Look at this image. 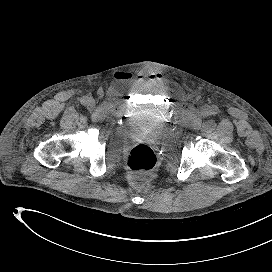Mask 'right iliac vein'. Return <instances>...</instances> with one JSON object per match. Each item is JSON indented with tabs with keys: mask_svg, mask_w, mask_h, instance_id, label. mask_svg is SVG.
Masks as SVG:
<instances>
[{
	"mask_svg": "<svg viewBox=\"0 0 272 272\" xmlns=\"http://www.w3.org/2000/svg\"><path fill=\"white\" fill-rule=\"evenodd\" d=\"M87 105H88V107L93 108V107L95 106V101H94V99L88 98V99H87Z\"/></svg>",
	"mask_w": 272,
	"mask_h": 272,
	"instance_id": "1",
	"label": "right iliac vein"
}]
</instances>
